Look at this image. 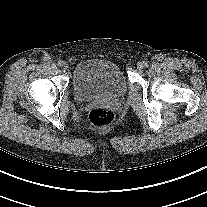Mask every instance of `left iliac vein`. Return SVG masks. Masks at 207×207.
<instances>
[{
	"label": "left iliac vein",
	"mask_w": 207,
	"mask_h": 207,
	"mask_svg": "<svg viewBox=\"0 0 207 207\" xmlns=\"http://www.w3.org/2000/svg\"><path fill=\"white\" fill-rule=\"evenodd\" d=\"M137 67H138V69H140V70H141V69H144V68H145L144 62H143V61L138 62Z\"/></svg>",
	"instance_id": "obj_1"
}]
</instances>
